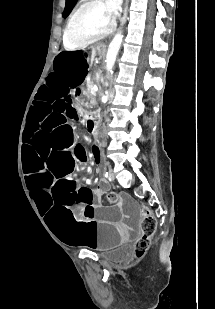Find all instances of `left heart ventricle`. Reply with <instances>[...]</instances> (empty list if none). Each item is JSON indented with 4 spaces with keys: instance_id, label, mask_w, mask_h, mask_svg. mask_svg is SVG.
I'll use <instances>...</instances> for the list:
<instances>
[{
    "instance_id": "1",
    "label": "left heart ventricle",
    "mask_w": 215,
    "mask_h": 309,
    "mask_svg": "<svg viewBox=\"0 0 215 309\" xmlns=\"http://www.w3.org/2000/svg\"><path fill=\"white\" fill-rule=\"evenodd\" d=\"M81 13L85 15L84 20H79L77 25H72L69 33H73V39L77 41H88V34H93L94 29H105L108 20L101 7H92ZM80 35H84V38H80Z\"/></svg>"
}]
</instances>
